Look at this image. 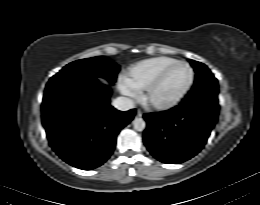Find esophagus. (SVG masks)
Returning a JSON list of instances; mask_svg holds the SVG:
<instances>
[{"label":"esophagus","instance_id":"esophagus-1","mask_svg":"<svg viewBox=\"0 0 260 205\" xmlns=\"http://www.w3.org/2000/svg\"><path fill=\"white\" fill-rule=\"evenodd\" d=\"M136 116L137 117H141L142 116V111L140 109L137 110Z\"/></svg>","mask_w":260,"mask_h":205}]
</instances>
